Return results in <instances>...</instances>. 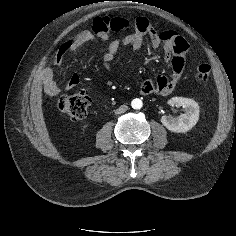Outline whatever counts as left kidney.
Masks as SVG:
<instances>
[{"mask_svg":"<svg viewBox=\"0 0 236 236\" xmlns=\"http://www.w3.org/2000/svg\"><path fill=\"white\" fill-rule=\"evenodd\" d=\"M171 106H182L185 110V114L180 116H162V124L171 132L185 133L191 130L199 120V105L192 99L183 97H174L168 101Z\"/></svg>","mask_w":236,"mask_h":236,"instance_id":"5707ae66","label":"left kidney"}]
</instances>
